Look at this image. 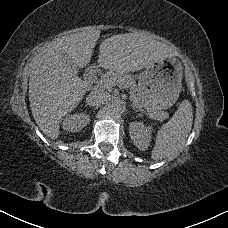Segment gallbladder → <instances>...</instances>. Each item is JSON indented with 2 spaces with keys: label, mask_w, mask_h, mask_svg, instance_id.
<instances>
[{
  "label": "gallbladder",
  "mask_w": 228,
  "mask_h": 228,
  "mask_svg": "<svg viewBox=\"0 0 228 228\" xmlns=\"http://www.w3.org/2000/svg\"><path fill=\"white\" fill-rule=\"evenodd\" d=\"M70 67H71V70L74 72V73H78V69L75 65L73 64H70Z\"/></svg>",
  "instance_id": "1"
}]
</instances>
